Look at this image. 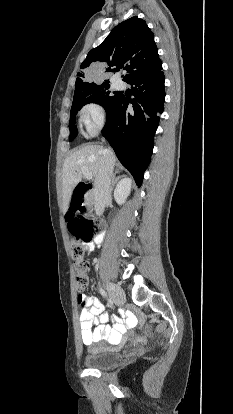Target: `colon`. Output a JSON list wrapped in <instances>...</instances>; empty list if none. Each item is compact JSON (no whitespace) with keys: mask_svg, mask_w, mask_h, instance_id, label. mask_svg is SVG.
I'll list each match as a JSON object with an SVG mask.
<instances>
[{"mask_svg":"<svg viewBox=\"0 0 233 414\" xmlns=\"http://www.w3.org/2000/svg\"><path fill=\"white\" fill-rule=\"evenodd\" d=\"M67 221L70 232L77 238V241L72 243L71 256L76 270L75 281L78 292L77 301L79 302L82 299L79 297V292L84 291L88 285L87 270L89 263L85 259V245L92 241L94 234L100 230L101 225L97 221L86 219L81 212L70 211ZM143 332L149 333V326H145Z\"/></svg>","mask_w":233,"mask_h":414,"instance_id":"1","label":"colon"}]
</instances>
